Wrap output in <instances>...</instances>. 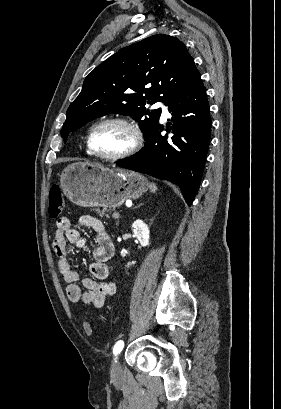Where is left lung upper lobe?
I'll use <instances>...</instances> for the list:
<instances>
[{"mask_svg": "<svg viewBox=\"0 0 281 409\" xmlns=\"http://www.w3.org/2000/svg\"><path fill=\"white\" fill-rule=\"evenodd\" d=\"M196 72L185 45L172 36L158 34L132 44L85 78L81 93L67 110L61 135L66 141L69 132L88 121L118 113L138 121L148 137L158 125L161 109L150 111L145 105L157 101L169 105Z\"/></svg>", "mask_w": 281, "mask_h": 409, "instance_id": "obj_1", "label": "left lung upper lobe"}]
</instances>
